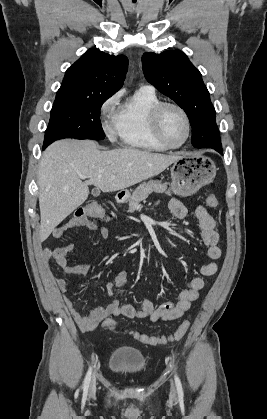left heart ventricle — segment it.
I'll use <instances>...</instances> for the list:
<instances>
[{"mask_svg":"<svg viewBox=\"0 0 267 419\" xmlns=\"http://www.w3.org/2000/svg\"><path fill=\"white\" fill-rule=\"evenodd\" d=\"M162 132L171 144H180L186 136V125L182 115L174 108H167L162 116Z\"/></svg>","mask_w":267,"mask_h":419,"instance_id":"b2bd125f","label":"left heart ventricle"}]
</instances>
